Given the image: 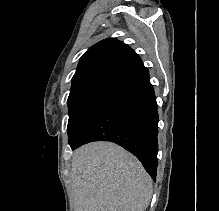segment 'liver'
Returning a JSON list of instances; mask_svg holds the SVG:
<instances>
[{
  "instance_id": "obj_1",
  "label": "liver",
  "mask_w": 219,
  "mask_h": 211,
  "mask_svg": "<svg viewBox=\"0 0 219 211\" xmlns=\"http://www.w3.org/2000/svg\"><path fill=\"white\" fill-rule=\"evenodd\" d=\"M70 185L74 211H144L153 191L141 161L112 141L75 149Z\"/></svg>"
}]
</instances>
